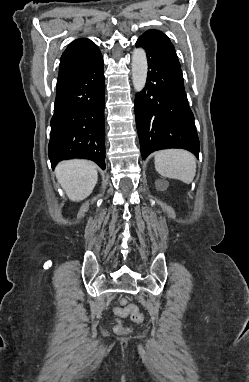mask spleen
Masks as SVG:
<instances>
[{
  "label": "spleen",
  "instance_id": "obj_1",
  "mask_svg": "<svg viewBox=\"0 0 249 382\" xmlns=\"http://www.w3.org/2000/svg\"><path fill=\"white\" fill-rule=\"evenodd\" d=\"M156 171L163 177L191 183L196 174L195 156L182 149L157 151L154 157Z\"/></svg>",
  "mask_w": 249,
  "mask_h": 382
}]
</instances>
